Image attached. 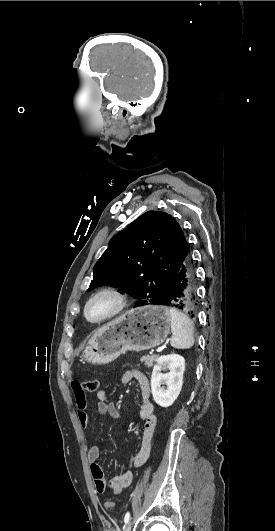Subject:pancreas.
<instances>
[{"mask_svg": "<svg viewBox=\"0 0 275 531\" xmlns=\"http://www.w3.org/2000/svg\"><path fill=\"white\" fill-rule=\"evenodd\" d=\"M155 361H157V355H146V357H141V363H144L146 367H153Z\"/></svg>", "mask_w": 275, "mask_h": 531, "instance_id": "1", "label": "pancreas"}]
</instances>
